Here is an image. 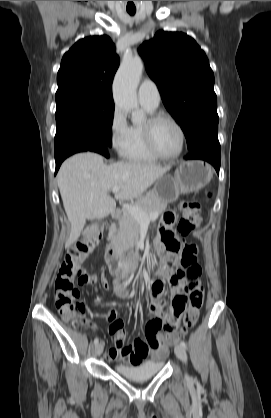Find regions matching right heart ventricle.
I'll return each mask as SVG.
<instances>
[{"mask_svg":"<svg viewBox=\"0 0 271 418\" xmlns=\"http://www.w3.org/2000/svg\"><path fill=\"white\" fill-rule=\"evenodd\" d=\"M144 111L151 115L155 109L142 105ZM122 156L130 161L154 162L157 158L148 150L142 124H132L129 126L126 144L121 152Z\"/></svg>","mask_w":271,"mask_h":418,"instance_id":"1","label":"right heart ventricle"}]
</instances>
